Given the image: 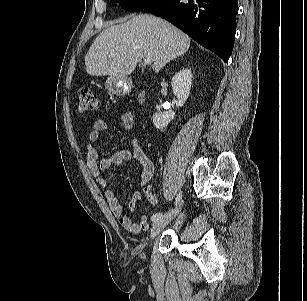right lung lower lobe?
Instances as JSON below:
<instances>
[{"label": "right lung lower lobe", "mask_w": 307, "mask_h": 301, "mask_svg": "<svg viewBox=\"0 0 307 301\" xmlns=\"http://www.w3.org/2000/svg\"><path fill=\"white\" fill-rule=\"evenodd\" d=\"M143 10L168 20L228 61L234 46L238 0H158Z\"/></svg>", "instance_id": "obj_1"}]
</instances>
